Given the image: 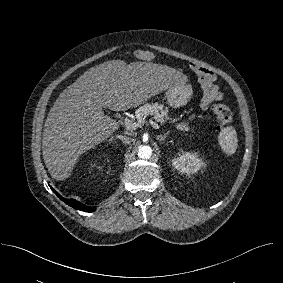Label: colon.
I'll use <instances>...</instances> for the list:
<instances>
[{"instance_id":"obj_1","label":"colon","mask_w":283,"mask_h":283,"mask_svg":"<svg viewBox=\"0 0 283 283\" xmlns=\"http://www.w3.org/2000/svg\"><path fill=\"white\" fill-rule=\"evenodd\" d=\"M135 56L141 60H151L152 54L146 50H138L135 52ZM212 111L216 115L219 125L218 129H223L228 126L232 121V113L230 109L223 104H215L212 106Z\"/></svg>"}]
</instances>
